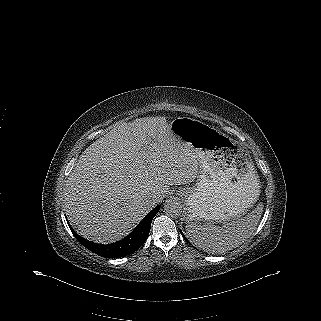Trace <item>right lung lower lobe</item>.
Returning <instances> with one entry per match:
<instances>
[{
  "instance_id": "1",
  "label": "right lung lower lobe",
  "mask_w": 321,
  "mask_h": 321,
  "mask_svg": "<svg viewBox=\"0 0 321 321\" xmlns=\"http://www.w3.org/2000/svg\"><path fill=\"white\" fill-rule=\"evenodd\" d=\"M159 208L160 205L149 212L127 237L114 244H95L80 237L70 226L69 227L75 238L90 251L105 258H120L133 253L147 240L152 219L159 211Z\"/></svg>"
}]
</instances>
